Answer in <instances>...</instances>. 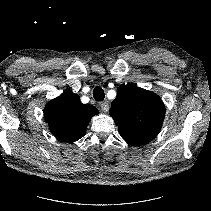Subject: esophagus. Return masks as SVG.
Here are the masks:
<instances>
[{"instance_id": "34e87169", "label": "esophagus", "mask_w": 211, "mask_h": 211, "mask_svg": "<svg viewBox=\"0 0 211 211\" xmlns=\"http://www.w3.org/2000/svg\"><path fill=\"white\" fill-rule=\"evenodd\" d=\"M100 107H101L103 112H108V110H109V103L107 101L102 102L100 104Z\"/></svg>"}]
</instances>
